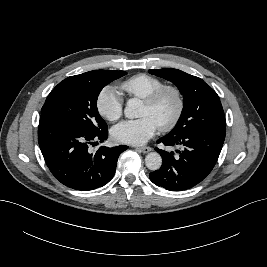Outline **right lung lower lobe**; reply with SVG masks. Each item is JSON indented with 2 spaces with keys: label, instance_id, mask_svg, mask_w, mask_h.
<instances>
[{
  "label": "right lung lower lobe",
  "instance_id": "98d812e1",
  "mask_svg": "<svg viewBox=\"0 0 267 267\" xmlns=\"http://www.w3.org/2000/svg\"><path fill=\"white\" fill-rule=\"evenodd\" d=\"M107 136V130L91 133L48 115L40 117L38 142L45 162L58 181L75 190L102 187L114 176L118 157L128 146L100 147L94 154L88 150Z\"/></svg>",
  "mask_w": 267,
  "mask_h": 267
}]
</instances>
